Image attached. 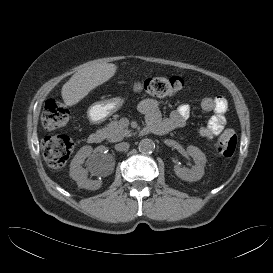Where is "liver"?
Wrapping results in <instances>:
<instances>
[{"mask_svg":"<svg viewBox=\"0 0 273 273\" xmlns=\"http://www.w3.org/2000/svg\"><path fill=\"white\" fill-rule=\"evenodd\" d=\"M116 71L117 66L113 63L93 65L79 70L62 87L64 103L67 106L77 104L91 90L111 79Z\"/></svg>","mask_w":273,"mask_h":273,"instance_id":"6515ba94","label":"liver"}]
</instances>
